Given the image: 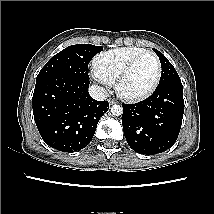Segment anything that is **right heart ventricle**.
I'll return each mask as SVG.
<instances>
[{"label":"right heart ventricle","instance_id":"obj_1","mask_svg":"<svg viewBox=\"0 0 214 214\" xmlns=\"http://www.w3.org/2000/svg\"><path fill=\"white\" fill-rule=\"evenodd\" d=\"M146 51L137 46L120 47L98 54L94 61V70L110 84L116 82L125 65L136 55Z\"/></svg>","mask_w":214,"mask_h":214}]
</instances>
